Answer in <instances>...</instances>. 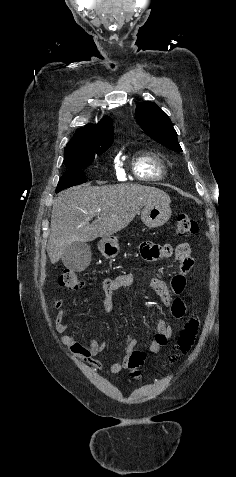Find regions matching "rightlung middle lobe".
I'll list each match as a JSON object with an SVG mask.
<instances>
[{"mask_svg": "<svg viewBox=\"0 0 236 477\" xmlns=\"http://www.w3.org/2000/svg\"><path fill=\"white\" fill-rule=\"evenodd\" d=\"M108 148L109 147L97 150L89 154L75 156L68 161H64L65 165L67 166V168H69V170H67L60 178L58 186L56 188V192H59L65 188L85 183L87 180L81 169L90 165L94 161L95 156L101 155Z\"/></svg>", "mask_w": 236, "mask_h": 477, "instance_id": "1", "label": "right lung middle lobe"}]
</instances>
